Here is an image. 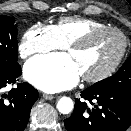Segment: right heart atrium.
<instances>
[{"instance_id": "1", "label": "right heart atrium", "mask_w": 131, "mask_h": 131, "mask_svg": "<svg viewBox=\"0 0 131 131\" xmlns=\"http://www.w3.org/2000/svg\"><path fill=\"white\" fill-rule=\"evenodd\" d=\"M63 47L53 26L37 23L26 30L18 50L21 57L28 58Z\"/></svg>"}]
</instances>
